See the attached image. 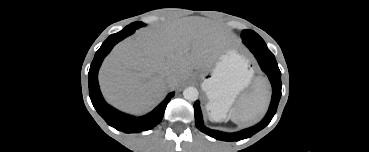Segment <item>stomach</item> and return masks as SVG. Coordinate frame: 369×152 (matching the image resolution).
<instances>
[{"label": "stomach", "instance_id": "obj_1", "mask_svg": "<svg viewBox=\"0 0 369 152\" xmlns=\"http://www.w3.org/2000/svg\"><path fill=\"white\" fill-rule=\"evenodd\" d=\"M252 75L244 57L235 51H228L220 57L201 85L209 99L207 110L213 120L226 118L238 94L249 85Z\"/></svg>", "mask_w": 369, "mask_h": 152}]
</instances>
